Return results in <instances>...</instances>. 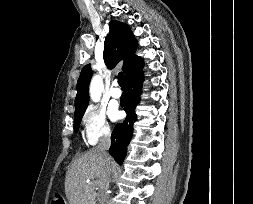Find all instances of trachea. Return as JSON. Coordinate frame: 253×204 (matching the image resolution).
<instances>
[{
    "label": "trachea",
    "instance_id": "1",
    "mask_svg": "<svg viewBox=\"0 0 253 204\" xmlns=\"http://www.w3.org/2000/svg\"><path fill=\"white\" fill-rule=\"evenodd\" d=\"M118 83L120 86H125V81H124V74L123 72H120L118 74Z\"/></svg>",
    "mask_w": 253,
    "mask_h": 204
}]
</instances>
